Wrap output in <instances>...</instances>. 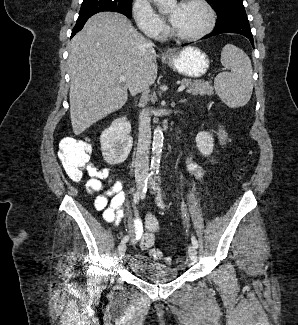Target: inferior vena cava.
Here are the masks:
<instances>
[{
    "label": "inferior vena cava",
    "instance_id": "inferior-vena-cava-1",
    "mask_svg": "<svg viewBox=\"0 0 298 325\" xmlns=\"http://www.w3.org/2000/svg\"><path fill=\"white\" fill-rule=\"evenodd\" d=\"M152 40H147V46H153ZM151 112L142 108L139 112V134L135 158V179H146L149 175V152L151 142Z\"/></svg>",
    "mask_w": 298,
    "mask_h": 325
}]
</instances>
